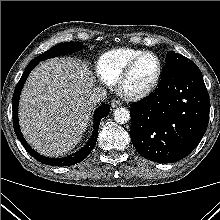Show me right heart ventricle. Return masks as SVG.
Masks as SVG:
<instances>
[{
    "mask_svg": "<svg viewBox=\"0 0 220 220\" xmlns=\"http://www.w3.org/2000/svg\"><path fill=\"white\" fill-rule=\"evenodd\" d=\"M143 51L134 48H119L104 53L96 65L98 77L107 84L116 83L127 64Z\"/></svg>",
    "mask_w": 220,
    "mask_h": 220,
    "instance_id": "1",
    "label": "right heart ventricle"
}]
</instances>
